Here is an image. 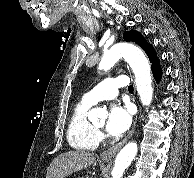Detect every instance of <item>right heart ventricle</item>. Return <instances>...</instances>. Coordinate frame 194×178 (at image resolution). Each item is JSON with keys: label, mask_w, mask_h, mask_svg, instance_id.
I'll return each mask as SVG.
<instances>
[{"label": "right heart ventricle", "mask_w": 194, "mask_h": 178, "mask_svg": "<svg viewBox=\"0 0 194 178\" xmlns=\"http://www.w3.org/2000/svg\"><path fill=\"white\" fill-rule=\"evenodd\" d=\"M90 106L82 100L75 105L71 114L66 135L69 145L74 149L94 150L99 145L98 131L87 119Z\"/></svg>", "instance_id": "e07e8e85"}]
</instances>
